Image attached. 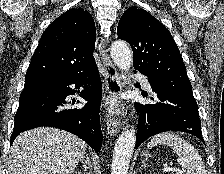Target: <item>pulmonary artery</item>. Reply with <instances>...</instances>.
Instances as JSON below:
<instances>
[{"instance_id":"e3ab8cb5","label":"pulmonary artery","mask_w":224,"mask_h":174,"mask_svg":"<svg viewBox=\"0 0 224 174\" xmlns=\"http://www.w3.org/2000/svg\"><path fill=\"white\" fill-rule=\"evenodd\" d=\"M139 76H140V78H141V80H142L144 86H145L148 90H151V86H150V84H149L147 78H146L145 76L141 75V74H140Z\"/></svg>"}]
</instances>
